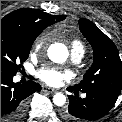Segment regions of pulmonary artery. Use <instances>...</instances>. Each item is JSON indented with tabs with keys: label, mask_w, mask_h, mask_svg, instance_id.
Listing matches in <instances>:
<instances>
[{
	"label": "pulmonary artery",
	"mask_w": 122,
	"mask_h": 122,
	"mask_svg": "<svg viewBox=\"0 0 122 122\" xmlns=\"http://www.w3.org/2000/svg\"><path fill=\"white\" fill-rule=\"evenodd\" d=\"M84 56V51L79 48H72L71 50V60L74 63H79Z\"/></svg>",
	"instance_id": "e3ab8cb5"
}]
</instances>
